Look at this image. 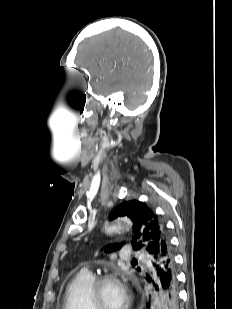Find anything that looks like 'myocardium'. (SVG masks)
Wrapping results in <instances>:
<instances>
[{"instance_id": "1", "label": "myocardium", "mask_w": 232, "mask_h": 309, "mask_svg": "<svg viewBox=\"0 0 232 309\" xmlns=\"http://www.w3.org/2000/svg\"><path fill=\"white\" fill-rule=\"evenodd\" d=\"M108 282H118L125 288L126 293H127V303L124 309H130L132 305V296L129 293L128 286L123 281L121 274L116 271L100 274L94 279L91 285L90 291H89V301H90L92 309H103V307L100 304V300H99L100 289L104 284Z\"/></svg>"}]
</instances>
